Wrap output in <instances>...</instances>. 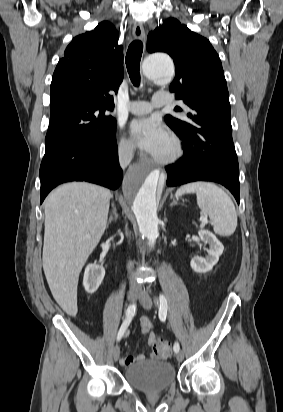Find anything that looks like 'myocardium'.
I'll return each instance as SVG.
<instances>
[{"instance_id":"obj_1","label":"myocardium","mask_w":283,"mask_h":412,"mask_svg":"<svg viewBox=\"0 0 283 412\" xmlns=\"http://www.w3.org/2000/svg\"><path fill=\"white\" fill-rule=\"evenodd\" d=\"M168 138L170 139L172 143L173 151L170 155L165 156V157L152 155V159L158 164L168 165V164L175 163L184 154V147H183V144L180 138L171 132L168 134Z\"/></svg>"}]
</instances>
